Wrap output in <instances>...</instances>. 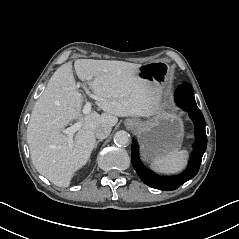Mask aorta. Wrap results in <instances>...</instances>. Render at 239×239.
<instances>
[{"mask_svg": "<svg viewBox=\"0 0 239 239\" xmlns=\"http://www.w3.org/2000/svg\"><path fill=\"white\" fill-rule=\"evenodd\" d=\"M114 141L118 146H128L131 138L126 131L121 130L115 133Z\"/></svg>", "mask_w": 239, "mask_h": 239, "instance_id": "obj_1", "label": "aorta"}]
</instances>
